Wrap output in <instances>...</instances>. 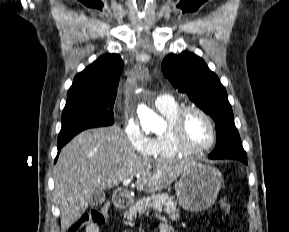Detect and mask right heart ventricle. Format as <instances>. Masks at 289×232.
<instances>
[{"instance_id":"obj_1","label":"right heart ventricle","mask_w":289,"mask_h":232,"mask_svg":"<svg viewBox=\"0 0 289 232\" xmlns=\"http://www.w3.org/2000/svg\"><path fill=\"white\" fill-rule=\"evenodd\" d=\"M180 109L174 100L166 107L158 109L168 121V128L161 134L152 138V149L150 155L156 158H174L190 155L191 153L180 148L170 132V123Z\"/></svg>"}]
</instances>
